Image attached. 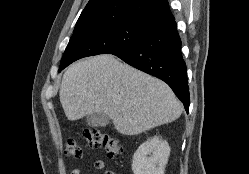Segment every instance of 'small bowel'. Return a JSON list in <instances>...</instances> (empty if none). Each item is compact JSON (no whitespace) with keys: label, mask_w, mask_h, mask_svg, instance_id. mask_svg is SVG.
I'll list each match as a JSON object with an SVG mask.
<instances>
[{"label":"small bowel","mask_w":249,"mask_h":174,"mask_svg":"<svg viewBox=\"0 0 249 174\" xmlns=\"http://www.w3.org/2000/svg\"><path fill=\"white\" fill-rule=\"evenodd\" d=\"M93 168L95 170H103L105 168V162L103 160H96L93 163ZM71 174H82V170L79 167H75L72 171ZM103 174H115L113 171L111 170H106L103 172Z\"/></svg>","instance_id":"small-bowel-1"}]
</instances>
